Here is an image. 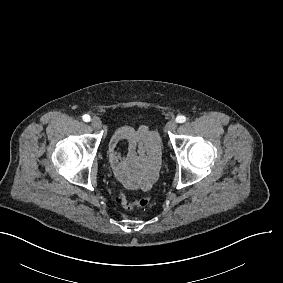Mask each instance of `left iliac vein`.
I'll return each instance as SVG.
<instances>
[{
  "mask_svg": "<svg viewBox=\"0 0 283 283\" xmlns=\"http://www.w3.org/2000/svg\"><path fill=\"white\" fill-rule=\"evenodd\" d=\"M176 127H177V122L174 119H172L166 124L165 131H174Z\"/></svg>",
  "mask_w": 283,
  "mask_h": 283,
  "instance_id": "left-iliac-vein-1",
  "label": "left iliac vein"
}]
</instances>
